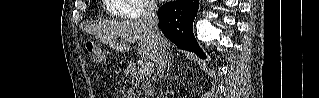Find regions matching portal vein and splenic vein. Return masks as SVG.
Masks as SVG:
<instances>
[{
  "label": "portal vein and splenic vein",
  "mask_w": 319,
  "mask_h": 98,
  "mask_svg": "<svg viewBox=\"0 0 319 98\" xmlns=\"http://www.w3.org/2000/svg\"><path fill=\"white\" fill-rule=\"evenodd\" d=\"M127 42H132L134 43L135 41L132 40L131 38H127L125 39ZM152 71V64L150 62H144L142 65H141V69H140V72L142 74H150V72Z\"/></svg>",
  "instance_id": "1"
}]
</instances>
